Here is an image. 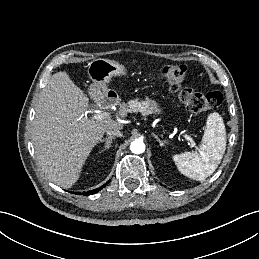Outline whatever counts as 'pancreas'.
<instances>
[{"label":"pancreas","mask_w":259,"mask_h":259,"mask_svg":"<svg viewBox=\"0 0 259 259\" xmlns=\"http://www.w3.org/2000/svg\"><path fill=\"white\" fill-rule=\"evenodd\" d=\"M129 112L131 113L140 112L143 115H148L151 113V110L147 102L145 101L140 102L136 99L129 102Z\"/></svg>","instance_id":"pancreas-1"}]
</instances>
